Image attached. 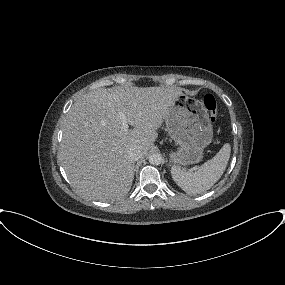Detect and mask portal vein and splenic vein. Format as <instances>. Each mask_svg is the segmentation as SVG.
Here are the masks:
<instances>
[{
    "label": "portal vein and splenic vein",
    "instance_id": "portal-vein-and-splenic-vein-1",
    "mask_svg": "<svg viewBox=\"0 0 285 285\" xmlns=\"http://www.w3.org/2000/svg\"><path fill=\"white\" fill-rule=\"evenodd\" d=\"M118 117L122 121V129L127 130L128 129V122H127L125 114L123 112H119Z\"/></svg>",
    "mask_w": 285,
    "mask_h": 285
}]
</instances>
